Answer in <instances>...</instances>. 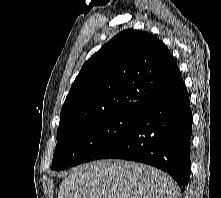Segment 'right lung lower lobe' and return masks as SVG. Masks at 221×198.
Segmentation results:
<instances>
[{"label":"right lung lower lobe","instance_id":"right-lung-lower-lobe-1","mask_svg":"<svg viewBox=\"0 0 221 198\" xmlns=\"http://www.w3.org/2000/svg\"><path fill=\"white\" fill-rule=\"evenodd\" d=\"M192 112L184 81L150 104L133 129L96 159H126L155 166L181 187L188 184Z\"/></svg>","mask_w":221,"mask_h":198}]
</instances>
